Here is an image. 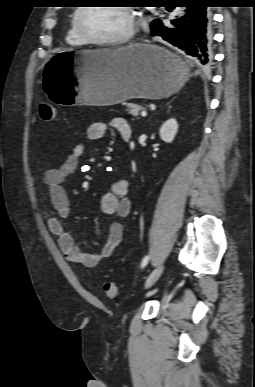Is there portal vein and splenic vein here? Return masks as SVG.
I'll use <instances>...</instances> for the list:
<instances>
[{
  "mask_svg": "<svg viewBox=\"0 0 255 387\" xmlns=\"http://www.w3.org/2000/svg\"><path fill=\"white\" fill-rule=\"evenodd\" d=\"M141 116H142V117H146V116H147L146 111H142V112H141Z\"/></svg>",
  "mask_w": 255,
  "mask_h": 387,
  "instance_id": "18ae733b",
  "label": "portal vein and splenic vein"
}]
</instances>
